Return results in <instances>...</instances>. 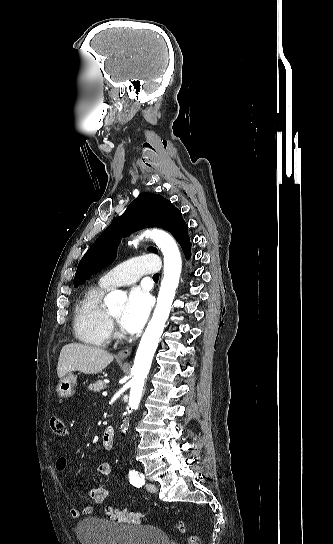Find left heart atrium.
Instances as JSON below:
<instances>
[{"label":"left heart atrium","instance_id":"obj_1","mask_svg":"<svg viewBox=\"0 0 333 544\" xmlns=\"http://www.w3.org/2000/svg\"><path fill=\"white\" fill-rule=\"evenodd\" d=\"M151 309L149 294L142 288L133 289L120 316L121 327L128 333H137L145 325Z\"/></svg>","mask_w":333,"mask_h":544}]
</instances>
